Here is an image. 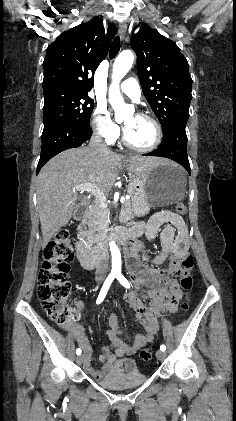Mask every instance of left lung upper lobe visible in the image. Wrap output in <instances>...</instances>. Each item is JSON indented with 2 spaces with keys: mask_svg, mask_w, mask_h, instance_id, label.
Wrapping results in <instances>:
<instances>
[{
  "mask_svg": "<svg viewBox=\"0 0 236 421\" xmlns=\"http://www.w3.org/2000/svg\"><path fill=\"white\" fill-rule=\"evenodd\" d=\"M137 54V72L143 94L159 119L163 132L189 117L192 78L178 46L142 24L131 37Z\"/></svg>",
  "mask_w": 236,
  "mask_h": 421,
  "instance_id": "5c2ea615",
  "label": "left lung upper lobe"
}]
</instances>
